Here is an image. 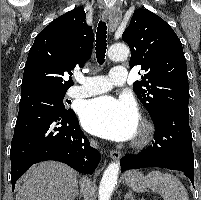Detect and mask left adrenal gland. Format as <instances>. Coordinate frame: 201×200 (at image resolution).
I'll return each instance as SVG.
<instances>
[{
	"instance_id": "1",
	"label": "left adrenal gland",
	"mask_w": 201,
	"mask_h": 200,
	"mask_svg": "<svg viewBox=\"0 0 201 200\" xmlns=\"http://www.w3.org/2000/svg\"><path fill=\"white\" fill-rule=\"evenodd\" d=\"M128 199H130V200H136V199H135V196L132 194V191H131V190H129V191L126 193V195L124 196V200H128Z\"/></svg>"
}]
</instances>
